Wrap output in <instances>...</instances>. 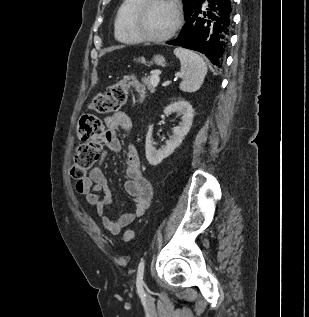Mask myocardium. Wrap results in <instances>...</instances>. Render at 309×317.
<instances>
[{"instance_id": "obj_1", "label": "myocardium", "mask_w": 309, "mask_h": 317, "mask_svg": "<svg viewBox=\"0 0 309 317\" xmlns=\"http://www.w3.org/2000/svg\"><path fill=\"white\" fill-rule=\"evenodd\" d=\"M156 3H167L171 5L175 11L176 21L169 32L161 36H151L144 33L140 27L141 21L148 9ZM183 12L178 0H142L131 16V30L135 36L142 42L162 43L171 39L180 30L183 25Z\"/></svg>"}]
</instances>
